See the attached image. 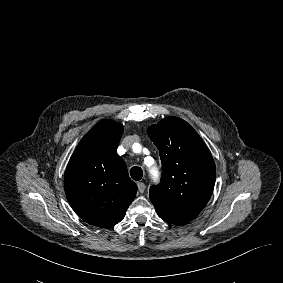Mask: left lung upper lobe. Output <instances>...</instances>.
<instances>
[{"instance_id":"left-lung-upper-lobe-1","label":"left lung upper lobe","mask_w":283,"mask_h":283,"mask_svg":"<svg viewBox=\"0 0 283 283\" xmlns=\"http://www.w3.org/2000/svg\"><path fill=\"white\" fill-rule=\"evenodd\" d=\"M148 136L159 149L162 179L150 188L160 218L175 225L195 219L209 201L216 179L212 156L183 119L169 117L152 125Z\"/></svg>"}]
</instances>
